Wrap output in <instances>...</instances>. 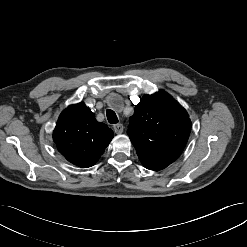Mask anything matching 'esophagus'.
Instances as JSON below:
<instances>
[{
    "label": "esophagus",
    "instance_id": "1",
    "mask_svg": "<svg viewBox=\"0 0 247 247\" xmlns=\"http://www.w3.org/2000/svg\"><path fill=\"white\" fill-rule=\"evenodd\" d=\"M113 128L116 134H121L124 130V126L121 123L115 124Z\"/></svg>",
    "mask_w": 247,
    "mask_h": 247
}]
</instances>
